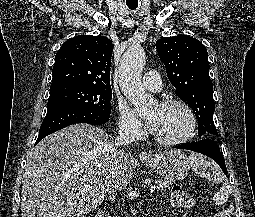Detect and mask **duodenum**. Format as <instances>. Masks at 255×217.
Here are the masks:
<instances>
[{
    "label": "duodenum",
    "instance_id": "obj_1",
    "mask_svg": "<svg viewBox=\"0 0 255 217\" xmlns=\"http://www.w3.org/2000/svg\"><path fill=\"white\" fill-rule=\"evenodd\" d=\"M94 217H105V214L103 212H99Z\"/></svg>",
    "mask_w": 255,
    "mask_h": 217
}]
</instances>
